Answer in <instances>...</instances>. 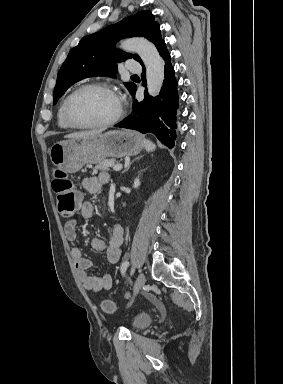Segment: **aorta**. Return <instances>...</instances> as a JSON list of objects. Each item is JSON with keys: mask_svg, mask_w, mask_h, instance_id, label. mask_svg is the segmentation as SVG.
<instances>
[{"mask_svg": "<svg viewBox=\"0 0 283 384\" xmlns=\"http://www.w3.org/2000/svg\"><path fill=\"white\" fill-rule=\"evenodd\" d=\"M120 47L127 52H135L141 57L146 67L149 95H158L164 81V60L159 55L156 47L143 38L123 40Z\"/></svg>", "mask_w": 283, "mask_h": 384, "instance_id": "762f6f07", "label": "aorta"}]
</instances>
